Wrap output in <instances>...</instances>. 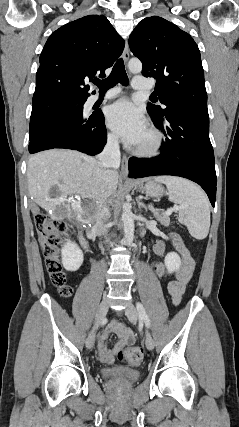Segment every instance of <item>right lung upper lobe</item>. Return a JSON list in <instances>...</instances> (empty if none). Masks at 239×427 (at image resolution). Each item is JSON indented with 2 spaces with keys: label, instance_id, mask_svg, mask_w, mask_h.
<instances>
[{
  "label": "right lung upper lobe",
  "instance_id": "cb5924a9",
  "mask_svg": "<svg viewBox=\"0 0 239 427\" xmlns=\"http://www.w3.org/2000/svg\"><path fill=\"white\" fill-rule=\"evenodd\" d=\"M124 40L103 15H88L53 32L40 55L33 99L62 95L87 99L96 75L105 77Z\"/></svg>",
  "mask_w": 239,
  "mask_h": 427
}]
</instances>
